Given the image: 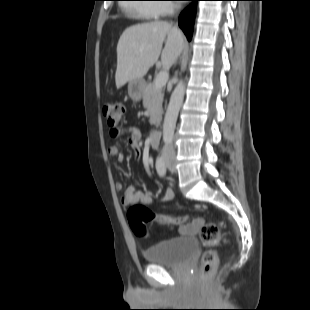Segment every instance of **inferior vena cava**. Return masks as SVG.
Instances as JSON below:
<instances>
[{"label": "inferior vena cava", "instance_id": "1", "mask_svg": "<svg viewBox=\"0 0 310 310\" xmlns=\"http://www.w3.org/2000/svg\"><path fill=\"white\" fill-rule=\"evenodd\" d=\"M163 153H164V155L174 153V149L172 146H165Z\"/></svg>", "mask_w": 310, "mask_h": 310}]
</instances>
